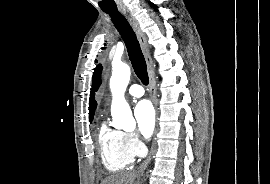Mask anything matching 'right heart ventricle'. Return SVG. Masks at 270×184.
Here are the masks:
<instances>
[{
	"label": "right heart ventricle",
	"mask_w": 270,
	"mask_h": 184,
	"mask_svg": "<svg viewBox=\"0 0 270 184\" xmlns=\"http://www.w3.org/2000/svg\"><path fill=\"white\" fill-rule=\"evenodd\" d=\"M98 145L102 162L109 171L123 170L134 162L135 155L126 144L125 133L105 122L99 127Z\"/></svg>",
	"instance_id": "e07e8e85"
}]
</instances>
